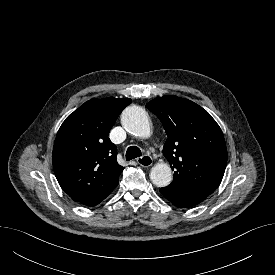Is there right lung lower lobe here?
I'll return each mask as SVG.
<instances>
[{
	"label": "right lung lower lobe",
	"instance_id": "1",
	"mask_svg": "<svg viewBox=\"0 0 275 275\" xmlns=\"http://www.w3.org/2000/svg\"><path fill=\"white\" fill-rule=\"evenodd\" d=\"M110 193H107V194L99 196V197L86 199V200L80 201V203L87 205V206H95V205L99 204L102 200H104Z\"/></svg>",
	"mask_w": 275,
	"mask_h": 275
}]
</instances>
